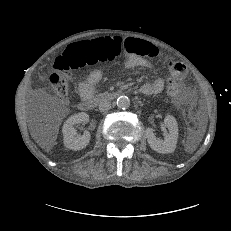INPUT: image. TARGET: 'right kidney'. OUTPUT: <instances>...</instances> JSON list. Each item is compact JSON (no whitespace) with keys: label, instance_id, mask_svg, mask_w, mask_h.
Segmentation results:
<instances>
[{"label":"right kidney","instance_id":"1","mask_svg":"<svg viewBox=\"0 0 231 231\" xmlns=\"http://www.w3.org/2000/svg\"><path fill=\"white\" fill-rule=\"evenodd\" d=\"M89 116L85 112L77 113L70 116L64 123L62 128L64 145L68 149L82 150L85 148L91 139V135L88 131H85L82 136L76 135L74 125L78 123H87Z\"/></svg>","mask_w":231,"mask_h":231}]
</instances>
